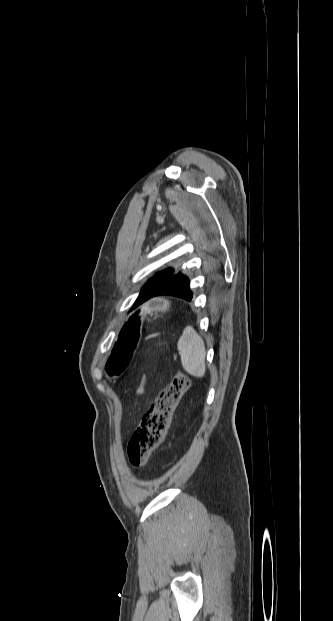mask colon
<instances>
[{"label":"colon","instance_id":"5ec220e1","mask_svg":"<svg viewBox=\"0 0 333 621\" xmlns=\"http://www.w3.org/2000/svg\"><path fill=\"white\" fill-rule=\"evenodd\" d=\"M190 387V379L177 371L173 381L156 397L133 432L127 446L129 462L135 468L147 464L152 452L161 444L172 415Z\"/></svg>","mask_w":333,"mask_h":621}]
</instances>
